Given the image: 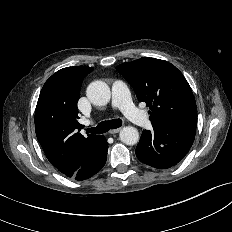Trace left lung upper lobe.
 I'll return each mask as SVG.
<instances>
[{
	"label": "left lung upper lobe",
	"instance_id": "left-lung-upper-lobe-1",
	"mask_svg": "<svg viewBox=\"0 0 232 232\" xmlns=\"http://www.w3.org/2000/svg\"><path fill=\"white\" fill-rule=\"evenodd\" d=\"M116 69L133 87L138 100L150 107L152 125L196 129L195 98L183 74L174 65L143 57Z\"/></svg>",
	"mask_w": 232,
	"mask_h": 232
}]
</instances>
